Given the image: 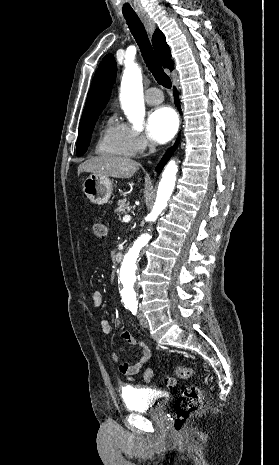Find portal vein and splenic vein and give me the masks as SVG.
I'll list each match as a JSON object with an SVG mask.
<instances>
[{
    "instance_id": "portal-vein-and-splenic-vein-1",
    "label": "portal vein and splenic vein",
    "mask_w": 279,
    "mask_h": 465,
    "mask_svg": "<svg viewBox=\"0 0 279 465\" xmlns=\"http://www.w3.org/2000/svg\"><path fill=\"white\" fill-rule=\"evenodd\" d=\"M130 220H131V216H130V215H125V216L123 217V221H124V222H129Z\"/></svg>"
}]
</instances>
